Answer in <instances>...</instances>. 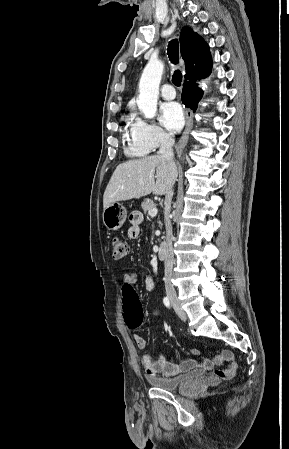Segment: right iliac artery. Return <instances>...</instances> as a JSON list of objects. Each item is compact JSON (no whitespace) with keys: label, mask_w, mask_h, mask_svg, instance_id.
Returning <instances> with one entry per match:
<instances>
[{"label":"right iliac artery","mask_w":289,"mask_h":449,"mask_svg":"<svg viewBox=\"0 0 289 449\" xmlns=\"http://www.w3.org/2000/svg\"><path fill=\"white\" fill-rule=\"evenodd\" d=\"M163 303H164V305H165L166 307H168V308L171 307L170 300H169L168 297H164Z\"/></svg>","instance_id":"right-iliac-artery-1"}]
</instances>
